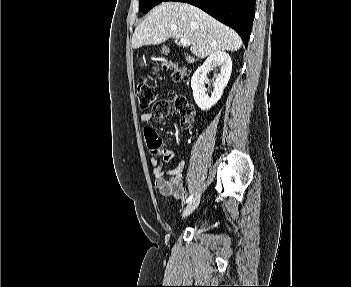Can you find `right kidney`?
Masks as SVG:
<instances>
[{
    "instance_id": "right-kidney-1",
    "label": "right kidney",
    "mask_w": 351,
    "mask_h": 287,
    "mask_svg": "<svg viewBox=\"0 0 351 287\" xmlns=\"http://www.w3.org/2000/svg\"><path fill=\"white\" fill-rule=\"evenodd\" d=\"M216 66L220 67V73L216 76L214 82V91L211 97L206 94L204 80L207 74ZM232 71V60L228 53L217 51L212 53L205 62L198 67L191 79V88L193 97L197 106L205 111L214 106L223 94L227 86Z\"/></svg>"
}]
</instances>
